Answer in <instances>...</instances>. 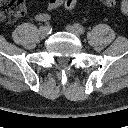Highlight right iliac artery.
Instances as JSON below:
<instances>
[{
    "label": "right iliac artery",
    "instance_id": "obj_1",
    "mask_svg": "<svg viewBox=\"0 0 128 128\" xmlns=\"http://www.w3.org/2000/svg\"><path fill=\"white\" fill-rule=\"evenodd\" d=\"M46 27H48L50 29V25L47 23ZM51 30V29H50Z\"/></svg>",
    "mask_w": 128,
    "mask_h": 128
}]
</instances>
